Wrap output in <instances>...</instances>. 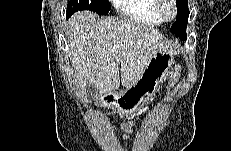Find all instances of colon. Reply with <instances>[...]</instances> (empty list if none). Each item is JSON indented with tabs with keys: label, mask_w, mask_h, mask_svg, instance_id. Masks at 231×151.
<instances>
[{
	"label": "colon",
	"mask_w": 231,
	"mask_h": 151,
	"mask_svg": "<svg viewBox=\"0 0 231 151\" xmlns=\"http://www.w3.org/2000/svg\"><path fill=\"white\" fill-rule=\"evenodd\" d=\"M179 73H180V67H176L175 69L171 71L170 76H169L170 85H173L176 83V81L179 78Z\"/></svg>",
	"instance_id": "obj_1"
}]
</instances>
